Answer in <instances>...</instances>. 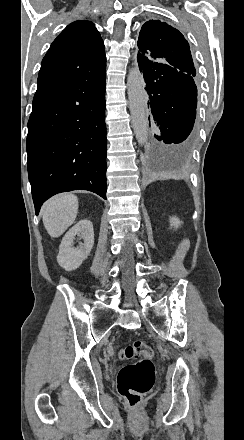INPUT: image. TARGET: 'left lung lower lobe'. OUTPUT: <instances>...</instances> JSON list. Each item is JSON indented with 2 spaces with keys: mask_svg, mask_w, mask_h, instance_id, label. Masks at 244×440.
Instances as JSON below:
<instances>
[{
  "mask_svg": "<svg viewBox=\"0 0 244 440\" xmlns=\"http://www.w3.org/2000/svg\"><path fill=\"white\" fill-rule=\"evenodd\" d=\"M148 94L153 130L148 134L146 149L150 155L173 154L186 151L193 140L196 118L197 87L194 77L163 66L139 65ZM150 122V117H149Z\"/></svg>",
  "mask_w": 244,
  "mask_h": 440,
  "instance_id": "obj_1",
  "label": "left lung lower lobe"
}]
</instances>
